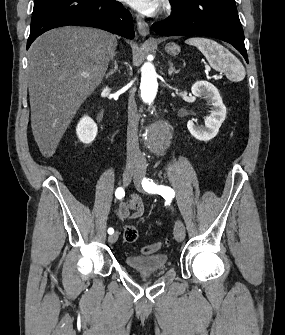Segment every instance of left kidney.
I'll use <instances>...</instances> for the list:
<instances>
[{
    "label": "left kidney",
    "mask_w": 285,
    "mask_h": 335,
    "mask_svg": "<svg viewBox=\"0 0 285 335\" xmlns=\"http://www.w3.org/2000/svg\"><path fill=\"white\" fill-rule=\"evenodd\" d=\"M193 96L196 98H209L213 106L210 116H207L205 120V128H199L195 126L194 122H187V128L197 140H202V142H209L212 138H215L219 132L221 124H223L226 118V108L222 102V98L215 86L210 84V82H195L191 88Z\"/></svg>",
    "instance_id": "obj_1"
}]
</instances>
